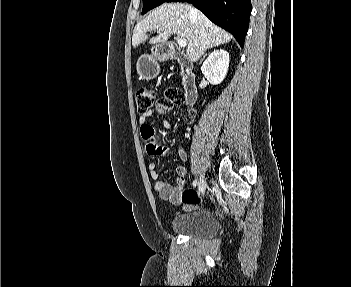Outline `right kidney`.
<instances>
[{
  "mask_svg": "<svg viewBox=\"0 0 351 287\" xmlns=\"http://www.w3.org/2000/svg\"><path fill=\"white\" fill-rule=\"evenodd\" d=\"M229 67V53L223 49L215 50L204 61L201 71L213 85L220 84L227 75Z\"/></svg>",
  "mask_w": 351,
  "mask_h": 287,
  "instance_id": "ca27d5eb",
  "label": "right kidney"
}]
</instances>
